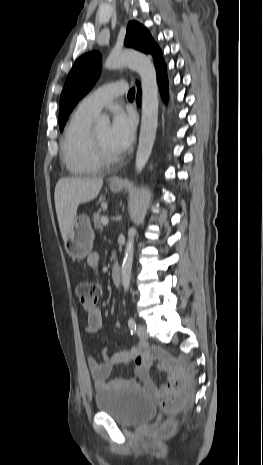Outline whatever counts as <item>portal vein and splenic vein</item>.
I'll use <instances>...</instances> for the list:
<instances>
[{
	"label": "portal vein and splenic vein",
	"mask_w": 263,
	"mask_h": 465,
	"mask_svg": "<svg viewBox=\"0 0 263 465\" xmlns=\"http://www.w3.org/2000/svg\"><path fill=\"white\" fill-rule=\"evenodd\" d=\"M101 222H102L103 225L106 226V225H108L109 220H108V218L105 216V217H102V218H101Z\"/></svg>",
	"instance_id": "obj_1"
}]
</instances>
